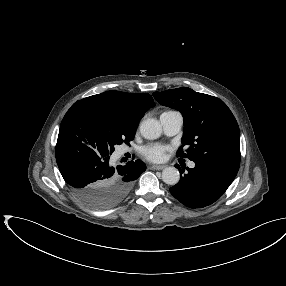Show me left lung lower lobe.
I'll return each mask as SVG.
<instances>
[{
  "mask_svg": "<svg viewBox=\"0 0 286 286\" xmlns=\"http://www.w3.org/2000/svg\"><path fill=\"white\" fill-rule=\"evenodd\" d=\"M179 171L182 174L184 169L181 171L179 168ZM187 171L188 173L180 176L179 182L170 188V192L190 208H202L214 203L227 190L238 172L211 162H195V167L187 168Z\"/></svg>",
  "mask_w": 286,
  "mask_h": 286,
  "instance_id": "obj_1",
  "label": "left lung lower lobe"
}]
</instances>
